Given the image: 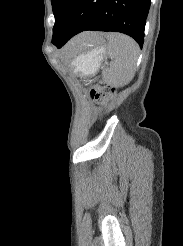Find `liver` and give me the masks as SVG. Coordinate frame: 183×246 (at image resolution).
I'll return each mask as SVG.
<instances>
[{
    "label": "liver",
    "instance_id": "liver-1",
    "mask_svg": "<svg viewBox=\"0 0 183 246\" xmlns=\"http://www.w3.org/2000/svg\"><path fill=\"white\" fill-rule=\"evenodd\" d=\"M102 37V33L85 32L75 37L69 46L73 49H82L85 46H89L101 41Z\"/></svg>",
    "mask_w": 183,
    "mask_h": 246
}]
</instances>
